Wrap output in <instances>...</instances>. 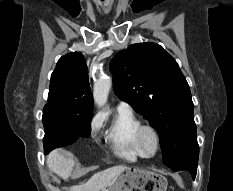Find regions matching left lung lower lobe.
Instances as JSON below:
<instances>
[{
    "mask_svg": "<svg viewBox=\"0 0 233 191\" xmlns=\"http://www.w3.org/2000/svg\"><path fill=\"white\" fill-rule=\"evenodd\" d=\"M197 163H198V159L185 160L177 164L171 169L173 171L187 170L191 173L192 178L194 180L196 177V172H197Z\"/></svg>",
    "mask_w": 233,
    "mask_h": 191,
    "instance_id": "left-lung-lower-lobe-1",
    "label": "left lung lower lobe"
}]
</instances>
